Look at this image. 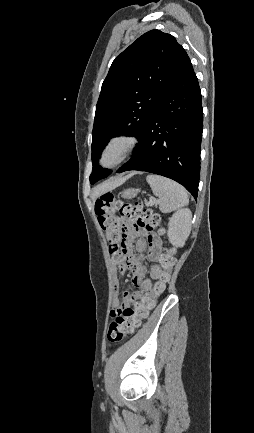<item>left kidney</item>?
<instances>
[{"mask_svg":"<svg viewBox=\"0 0 254 433\" xmlns=\"http://www.w3.org/2000/svg\"><path fill=\"white\" fill-rule=\"evenodd\" d=\"M192 213L189 209L176 211L169 219L168 238L176 247H183L191 231Z\"/></svg>","mask_w":254,"mask_h":433,"instance_id":"5707ae66","label":"left kidney"}]
</instances>
